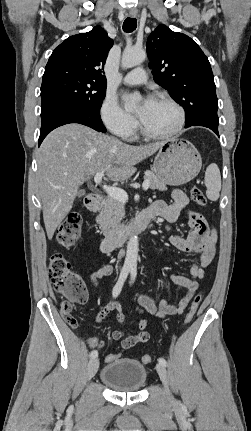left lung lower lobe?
<instances>
[{"instance_id":"left-lung-lower-lobe-1","label":"left lung lower lobe","mask_w":251,"mask_h":431,"mask_svg":"<svg viewBox=\"0 0 251 431\" xmlns=\"http://www.w3.org/2000/svg\"><path fill=\"white\" fill-rule=\"evenodd\" d=\"M218 124H219V122H210L207 120H203V121L194 122V123L189 124V125H185V127L187 128L190 126H204V127L210 128L212 131H214L219 136Z\"/></svg>"}]
</instances>
